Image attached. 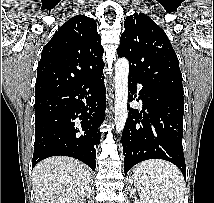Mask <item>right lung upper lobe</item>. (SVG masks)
I'll return each mask as SVG.
<instances>
[{
	"label": "right lung upper lobe",
	"instance_id": "1",
	"mask_svg": "<svg viewBox=\"0 0 214 203\" xmlns=\"http://www.w3.org/2000/svg\"><path fill=\"white\" fill-rule=\"evenodd\" d=\"M104 49L94 19L74 16L42 50L35 99L80 83L103 71Z\"/></svg>",
	"mask_w": 214,
	"mask_h": 203
}]
</instances>
